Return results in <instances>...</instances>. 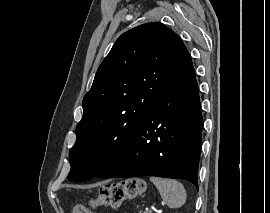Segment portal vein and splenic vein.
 Here are the masks:
<instances>
[{
    "label": "portal vein and splenic vein",
    "mask_w": 270,
    "mask_h": 213,
    "mask_svg": "<svg viewBox=\"0 0 270 213\" xmlns=\"http://www.w3.org/2000/svg\"><path fill=\"white\" fill-rule=\"evenodd\" d=\"M144 213H152V210H150V209L147 208Z\"/></svg>",
    "instance_id": "portal-vein-and-splenic-vein-1"
}]
</instances>
